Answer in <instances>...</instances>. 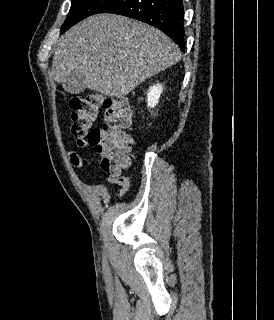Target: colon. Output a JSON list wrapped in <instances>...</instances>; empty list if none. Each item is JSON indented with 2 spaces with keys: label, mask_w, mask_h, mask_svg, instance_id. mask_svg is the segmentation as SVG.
Wrapping results in <instances>:
<instances>
[{
  "label": "colon",
  "mask_w": 274,
  "mask_h": 320,
  "mask_svg": "<svg viewBox=\"0 0 274 320\" xmlns=\"http://www.w3.org/2000/svg\"><path fill=\"white\" fill-rule=\"evenodd\" d=\"M71 110V134H84L91 138L94 149L104 152L101 169L121 185L118 196H124L129 188L127 178L119 171L127 166L130 159L133 139L128 130L131 127L132 113L122 97L105 100L100 94L91 93L85 97H72L68 100ZM104 110V121L108 128L93 127L100 109Z\"/></svg>",
  "instance_id": "5ec220e1"
}]
</instances>
